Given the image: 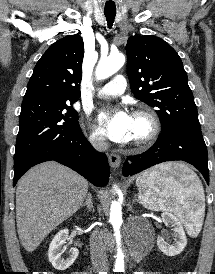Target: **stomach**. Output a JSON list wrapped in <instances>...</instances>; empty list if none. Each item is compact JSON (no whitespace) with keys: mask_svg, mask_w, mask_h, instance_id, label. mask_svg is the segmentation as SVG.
<instances>
[{"mask_svg":"<svg viewBox=\"0 0 215 274\" xmlns=\"http://www.w3.org/2000/svg\"><path fill=\"white\" fill-rule=\"evenodd\" d=\"M168 164H170L172 167L177 165V163H168Z\"/></svg>","mask_w":215,"mask_h":274,"instance_id":"0dacf381","label":"stomach"}]
</instances>
